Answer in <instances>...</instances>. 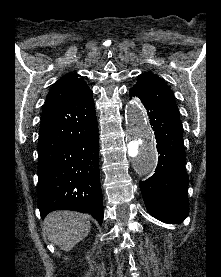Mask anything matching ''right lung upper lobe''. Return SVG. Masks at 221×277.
Returning a JSON list of instances; mask_svg holds the SVG:
<instances>
[{
    "instance_id": "cb5924a9",
    "label": "right lung upper lobe",
    "mask_w": 221,
    "mask_h": 277,
    "mask_svg": "<svg viewBox=\"0 0 221 277\" xmlns=\"http://www.w3.org/2000/svg\"><path fill=\"white\" fill-rule=\"evenodd\" d=\"M89 87L76 73L62 76L50 89L45 104L63 102L79 97L89 91Z\"/></svg>"
}]
</instances>
